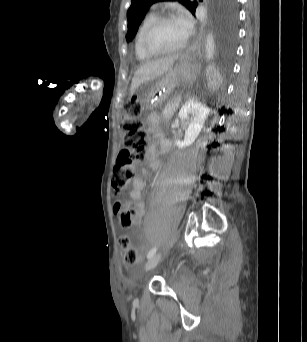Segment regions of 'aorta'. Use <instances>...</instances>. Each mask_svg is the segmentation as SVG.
Segmentation results:
<instances>
[{
	"label": "aorta",
	"mask_w": 307,
	"mask_h": 342,
	"mask_svg": "<svg viewBox=\"0 0 307 342\" xmlns=\"http://www.w3.org/2000/svg\"><path fill=\"white\" fill-rule=\"evenodd\" d=\"M215 40L213 34H208L205 44V58L206 60H213L215 54Z\"/></svg>",
	"instance_id": "obj_1"
}]
</instances>
